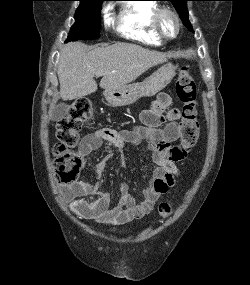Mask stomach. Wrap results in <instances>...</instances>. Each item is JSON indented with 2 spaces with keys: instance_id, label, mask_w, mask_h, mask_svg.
<instances>
[{
  "instance_id": "obj_1",
  "label": "stomach",
  "mask_w": 250,
  "mask_h": 285,
  "mask_svg": "<svg viewBox=\"0 0 250 285\" xmlns=\"http://www.w3.org/2000/svg\"><path fill=\"white\" fill-rule=\"evenodd\" d=\"M176 67L167 63L140 83L127 84L114 90H105L104 97L112 106H125L141 97H152L163 90L176 74Z\"/></svg>"
}]
</instances>
